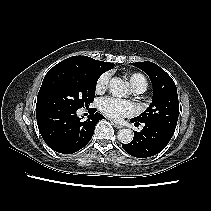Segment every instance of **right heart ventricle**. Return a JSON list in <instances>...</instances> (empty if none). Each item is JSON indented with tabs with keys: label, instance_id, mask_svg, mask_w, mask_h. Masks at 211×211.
Listing matches in <instances>:
<instances>
[{
	"label": "right heart ventricle",
	"instance_id": "e07e8e85",
	"mask_svg": "<svg viewBox=\"0 0 211 211\" xmlns=\"http://www.w3.org/2000/svg\"><path fill=\"white\" fill-rule=\"evenodd\" d=\"M129 82L132 88L135 89H142L143 91L147 88V80L144 75L140 73H132L128 76Z\"/></svg>",
	"mask_w": 211,
	"mask_h": 211
}]
</instances>
